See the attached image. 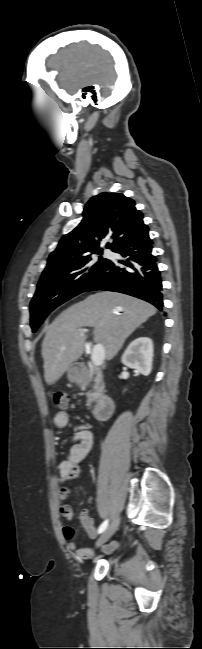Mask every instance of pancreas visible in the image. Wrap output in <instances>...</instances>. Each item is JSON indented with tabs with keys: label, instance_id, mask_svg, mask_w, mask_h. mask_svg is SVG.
Masks as SVG:
<instances>
[{
	"label": "pancreas",
	"instance_id": "obj_1",
	"mask_svg": "<svg viewBox=\"0 0 202 649\" xmlns=\"http://www.w3.org/2000/svg\"><path fill=\"white\" fill-rule=\"evenodd\" d=\"M94 368L95 367L93 365H89L88 368L84 367V371H83V374H82V379L80 381V384L83 385V384L87 383L88 381L92 380L93 375H96V377L94 379V382H95L94 388H93L92 391L87 393V407L89 409L92 408L93 402L97 401L101 397V395H102V393L104 391V384H103V380H102L101 371L95 370Z\"/></svg>",
	"mask_w": 202,
	"mask_h": 649
}]
</instances>
